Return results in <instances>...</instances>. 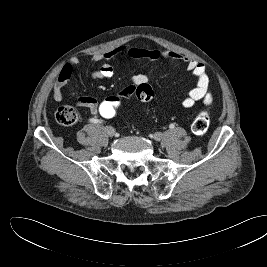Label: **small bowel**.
Instances as JSON below:
<instances>
[{
	"label": "small bowel",
	"instance_id": "small-bowel-1",
	"mask_svg": "<svg viewBox=\"0 0 267 267\" xmlns=\"http://www.w3.org/2000/svg\"><path fill=\"white\" fill-rule=\"evenodd\" d=\"M124 58H134V59H147L156 60L159 58H164L168 60H184L186 62V69L196 79L195 86L188 92L187 96L183 99L182 105L184 108H192L196 102L202 101L205 105H210L213 100L212 92L210 91V81L207 75L205 66L192 59L185 58L178 53L172 52L170 50H158V49H147V48H136L131 46H119L109 52L94 55L93 59L95 61H108L112 59H124ZM78 64V59L73 58L71 61L66 63L60 70L57 80L53 85V99L59 102L63 98V88L68 83L72 77L74 67ZM114 74L113 66L104 62L98 69L92 72V77L94 79H109ZM149 80L148 76L144 73L135 74L132 77V85L123 88L118 93L127 99L131 97L135 88L143 83H147ZM76 104L81 107L89 108L93 114L98 111L99 101L91 96H83L77 99Z\"/></svg>",
	"mask_w": 267,
	"mask_h": 267
}]
</instances>
